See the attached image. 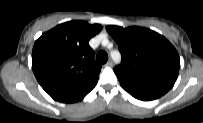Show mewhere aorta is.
<instances>
[{"label": "aorta", "mask_w": 203, "mask_h": 123, "mask_svg": "<svg viewBox=\"0 0 203 123\" xmlns=\"http://www.w3.org/2000/svg\"><path fill=\"white\" fill-rule=\"evenodd\" d=\"M112 58L115 60V61H119L120 60V53L119 52H117V51H114V52H112Z\"/></svg>", "instance_id": "1"}]
</instances>
